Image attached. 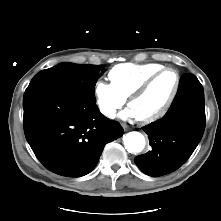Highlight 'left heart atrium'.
<instances>
[{
	"mask_svg": "<svg viewBox=\"0 0 221 221\" xmlns=\"http://www.w3.org/2000/svg\"><path fill=\"white\" fill-rule=\"evenodd\" d=\"M120 118L123 120H129V119H137V116L135 112L132 110V108L128 107L120 113Z\"/></svg>",
	"mask_w": 221,
	"mask_h": 221,
	"instance_id": "1",
	"label": "left heart atrium"
}]
</instances>
